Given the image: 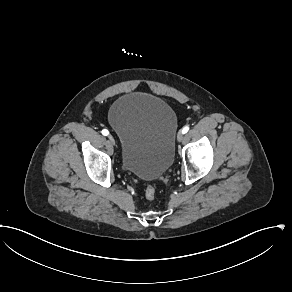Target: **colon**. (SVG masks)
<instances>
[{
    "label": "colon",
    "mask_w": 292,
    "mask_h": 292,
    "mask_svg": "<svg viewBox=\"0 0 292 292\" xmlns=\"http://www.w3.org/2000/svg\"><path fill=\"white\" fill-rule=\"evenodd\" d=\"M144 196H145L146 201L153 202L155 200V198H156V189H155V187L153 185H148L145 188Z\"/></svg>",
    "instance_id": "colon-1"
}]
</instances>
